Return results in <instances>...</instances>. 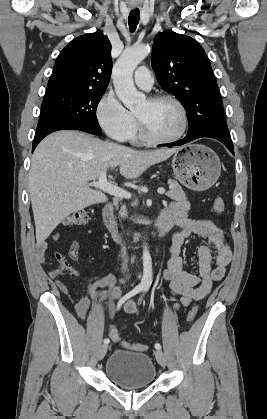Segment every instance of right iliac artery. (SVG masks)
Segmentation results:
<instances>
[{
  "instance_id": "82829eb1",
  "label": "right iliac artery",
  "mask_w": 267,
  "mask_h": 419,
  "mask_svg": "<svg viewBox=\"0 0 267 419\" xmlns=\"http://www.w3.org/2000/svg\"><path fill=\"white\" fill-rule=\"evenodd\" d=\"M142 287L141 286H136L133 290H131L130 292H128L126 295H124L118 302L117 304V310H119L122 306V304L128 300L129 298H131L132 296L136 295L137 293L142 291ZM110 342V340L108 338L104 339V343L108 344Z\"/></svg>"
}]
</instances>
